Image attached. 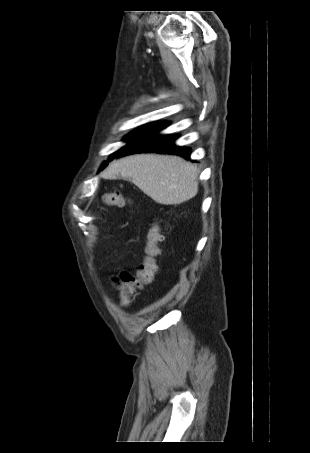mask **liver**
I'll return each mask as SVG.
<instances>
[{
    "mask_svg": "<svg viewBox=\"0 0 310 453\" xmlns=\"http://www.w3.org/2000/svg\"><path fill=\"white\" fill-rule=\"evenodd\" d=\"M118 174L131 180L155 202L164 205L181 204L198 192V168L178 156H127L113 162L102 177L113 179Z\"/></svg>",
    "mask_w": 310,
    "mask_h": 453,
    "instance_id": "liver-1",
    "label": "liver"
}]
</instances>
